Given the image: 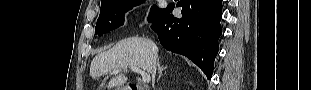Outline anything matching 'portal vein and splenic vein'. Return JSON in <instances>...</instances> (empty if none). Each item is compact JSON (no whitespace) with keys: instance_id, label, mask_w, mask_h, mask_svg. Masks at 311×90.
Returning a JSON list of instances; mask_svg holds the SVG:
<instances>
[{"instance_id":"18ae733b","label":"portal vein and splenic vein","mask_w":311,"mask_h":90,"mask_svg":"<svg viewBox=\"0 0 311 90\" xmlns=\"http://www.w3.org/2000/svg\"><path fill=\"white\" fill-rule=\"evenodd\" d=\"M133 72L140 74L142 76V81L145 83H149L151 80V77L149 74L145 73L143 70L138 68L137 66H131L129 67ZM120 72V70H116L115 73Z\"/></svg>"}]
</instances>
